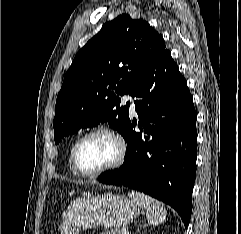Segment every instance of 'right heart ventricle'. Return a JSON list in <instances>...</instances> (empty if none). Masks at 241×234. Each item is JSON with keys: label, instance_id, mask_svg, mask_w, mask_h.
<instances>
[{"label": "right heart ventricle", "instance_id": "right-heart-ventricle-1", "mask_svg": "<svg viewBox=\"0 0 241 234\" xmlns=\"http://www.w3.org/2000/svg\"><path fill=\"white\" fill-rule=\"evenodd\" d=\"M72 148L73 146L70 148L69 154H68V160H67V166L68 169L74 174L76 175V172L74 171L73 167H72V163H71V152H72Z\"/></svg>", "mask_w": 241, "mask_h": 234}]
</instances>
